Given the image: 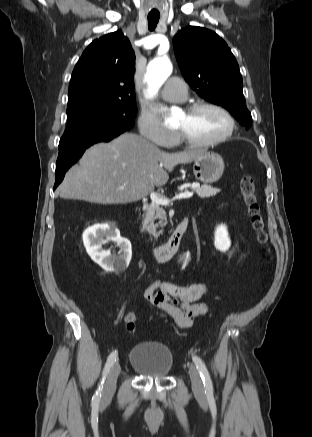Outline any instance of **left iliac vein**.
Masks as SVG:
<instances>
[{
    "instance_id": "obj_1",
    "label": "left iliac vein",
    "mask_w": 312,
    "mask_h": 437,
    "mask_svg": "<svg viewBox=\"0 0 312 437\" xmlns=\"http://www.w3.org/2000/svg\"><path fill=\"white\" fill-rule=\"evenodd\" d=\"M189 376L191 379V384L194 394L198 398H204L205 392H204L203 382L199 374V371L193 365L189 366Z\"/></svg>"
}]
</instances>
